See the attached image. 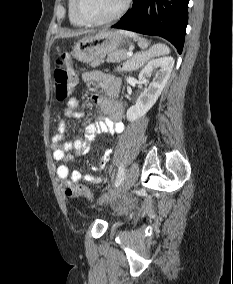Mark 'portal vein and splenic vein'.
<instances>
[{
	"mask_svg": "<svg viewBox=\"0 0 233 284\" xmlns=\"http://www.w3.org/2000/svg\"><path fill=\"white\" fill-rule=\"evenodd\" d=\"M127 55H128L129 57H131V56L133 55V52H132V51H129V52L127 53Z\"/></svg>",
	"mask_w": 233,
	"mask_h": 284,
	"instance_id": "portal-vein-and-splenic-vein-1",
	"label": "portal vein and splenic vein"
}]
</instances>
